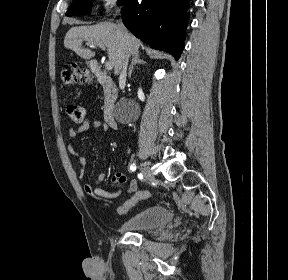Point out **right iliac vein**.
<instances>
[{
    "mask_svg": "<svg viewBox=\"0 0 288 280\" xmlns=\"http://www.w3.org/2000/svg\"><path fill=\"white\" fill-rule=\"evenodd\" d=\"M142 173L147 179H153V173L148 167H142Z\"/></svg>",
    "mask_w": 288,
    "mask_h": 280,
    "instance_id": "obj_1",
    "label": "right iliac vein"
}]
</instances>
